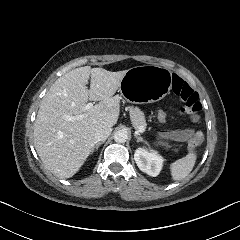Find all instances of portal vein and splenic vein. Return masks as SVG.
Masks as SVG:
<instances>
[{"label": "portal vein and splenic vein", "mask_w": 240, "mask_h": 240, "mask_svg": "<svg viewBox=\"0 0 240 240\" xmlns=\"http://www.w3.org/2000/svg\"><path fill=\"white\" fill-rule=\"evenodd\" d=\"M93 108V104L92 103H87L84 107H83V112L78 114V115H75V116H66L65 117V120L66 121H82L84 120L85 118L88 117V114H87V111L92 109ZM137 132L139 134H142L144 132V129L142 127H139L137 129Z\"/></svg>", "instance_id": "18ae733b"}]
</instances>
